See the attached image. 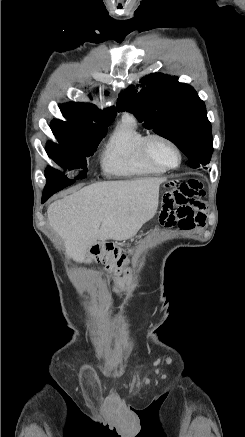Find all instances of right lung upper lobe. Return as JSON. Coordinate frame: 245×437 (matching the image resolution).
<instances>
[{"label":"right lung upper lobe","mask_w":245,"mask_h":437,"mask_svg":"<svg viewBox=\"0 0 245 437\" xmlns=\"http://www.w3.org/2000/svg\"><path fill=\"white\" fill-rule=\"evenodd\" d=\"M105 95H108V92H105ZM59 108L68 120L85 125L107 126L116 116L115 107L99 110L93 104L70 102L59 105Z\"/></svg>","instance_id":"obj_1"}]
</instances>
